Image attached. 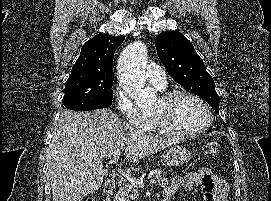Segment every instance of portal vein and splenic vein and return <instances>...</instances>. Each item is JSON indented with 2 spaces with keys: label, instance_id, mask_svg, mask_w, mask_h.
I'll list each match as a JSON object with an SVG mask.
<instances>
[{
  "label": "portal vein and splenic vein",
  "instance_id": "1",
  "mask_svg": "<svg viewBox=\"0 0 271 201\" xmlns=\"http://www.w3.org/2000/svg\"><path fill=\"white\" fill-rule=\"evenodd\" d=\"M121 151L120 149L115 150V152L113 154L108 155L113 156V160L112 163L116 166V169L118 170V172L124 177L126 178L131 184L137 186V187H143L144 183L142 180L137 179L136 177L131 176V174L126 173L125 171H123L120 167H117L118 165V159L120 157ZM151 184H155L156 180L155 179H151L150 180Z\"/></svg>",
  "mask_w": 271,
  "mask_h": 201
}]
</instances>
